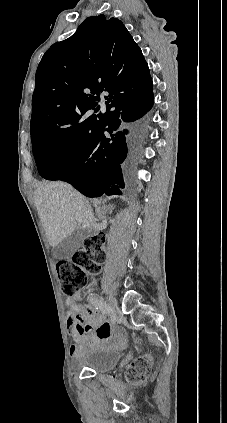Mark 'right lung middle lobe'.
<instances>
[{"instance_id": "obj_1", "label": "right lung middle lobe", "mask_w": 227, "mask_h": 423, "mask_svg": "<svg viewBox=\"0 0 227 423\" xmlns=\"http://www.w3.org/2000/svg\"><path fill=\"white\" fill-rule=\"evenodd\" d=\"M92 137L48 136L32 143L39 174L47 180H63L71 175L80 159L93 147Z\"/></svg>"}]
</instances>
